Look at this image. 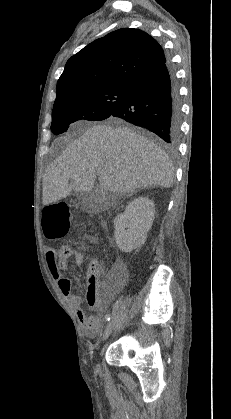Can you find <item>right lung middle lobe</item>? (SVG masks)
<instances>
[{"mask_svg":"<svg viewBox=\"0 0 231 419\" xmlns=\"http://www.w3.org/2000/svg\"><path fill=\"white\" fill-rule=\"evenodd\" d=\"M129 89L106 87L84 91L54 103L51 130L64 133L77 120H103L125 100Z\"/></svg>","mask_w":231,"mask_h":419,"instance_id":"obj_1","label":"right lung middle lobe"}]
</instances>
